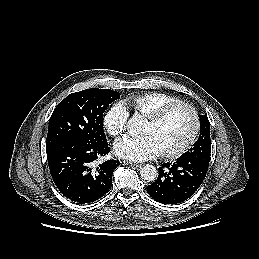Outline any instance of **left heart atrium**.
<instances>
[{
    "label": "left heart atrium",
    "mask_w": 259,
    "mask_h": 259,
    "mask_svg": "<svg viewBox=\"0 0 259 259\" xmlns=\"http://www.w3.org/2000/svg\"><path fill=\"white\" fill-rule=\"evenodd\" d=\"M113 149L117 156L133 162H142L159 155V151L149 135L125 136L114 144Z\"/></svg>",
    "instance_id": "left-heart-atrium-1"
}]
</instances>
